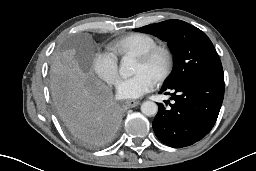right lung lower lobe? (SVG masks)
Returning a JSON list of instances; mask_svg holds the SVG:
<instances>
[{
    "instance_id": "obj_1",
    "label": "right lung lower lobe",
    "mask_w": 256,
    "mask_h": 171,
    "mask_svg": "<svg viewBox=\"0 0 256 171\" xmlns=\"http://www.w3.org/2000/svg\"><path fill=\"white\" fill-rule=\"evenodd\" d=\"M55 107L70 135L86 147L108 144L121 124L119 106L110 89L100 83L55 101Z\"/></svg>"
}]
</instances>
